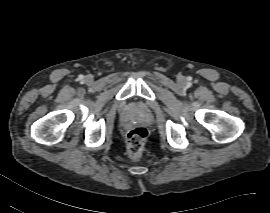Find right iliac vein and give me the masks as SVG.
I'll list each match as a JSON object with an SVG mask.
<instances>
[{
    "label": "right iliac vein",
    "mask_w": 270,
    "mask_h": 213,
    "mask_svg": "<svg viewBox=\"0 0 270 213\" xmlns=\"http://www.w3.org/2000/svg\"><path fill=\"white\" fill-rule=\"evenodd\" d=\"M91 80V78L90 77H86V81H90Z\"/></svg>",
    "instance_id": "obj_1"
}]
</instances>
